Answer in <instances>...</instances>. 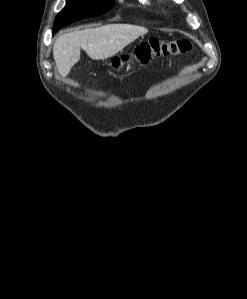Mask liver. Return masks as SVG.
Instances as JSON below:
<instances>
[{"instance_id":"obj_1","label":"liver","mask_w":247,"mask_h":299,"mask_svg":"<svg viewBox=\"0 0 247 299\" xmlns=\"http://www.w3.org/2000/svg\"><path fill=\"white\" fill-rule=\"evenodd\" d=\"M147 32V28L137 25L109 24L61 35L53 46L57 70L61 76H67L80 60L81 48L91 59L104 60L116 55Z\"/></svg>"}]
</instances>
